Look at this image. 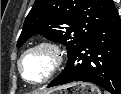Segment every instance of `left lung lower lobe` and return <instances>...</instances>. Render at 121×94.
Here are the masks:
<instances>
[{
    "label": "left lung lower lobe",
    "mask_w": 121,
    "mask_h": 94,
    "mask_svg": "<svg viewBox=\"0 0 121 94\" xmlns=\"http://www.w3.org/2000/svg\"><path fill=\"white\" fill-rule=\"evenodd\" d=\"M83 81L121 94V19L99 28L70 56L65 69L48 87Z\"/></svg>",
    "instance_id": "0a47b994"
}]
</instances>
